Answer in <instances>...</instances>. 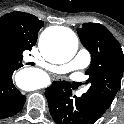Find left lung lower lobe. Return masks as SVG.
<instances>
[{
  "mask_svg": "<svg viewBox=\"0 0 124 124\" xmlns=\"http://www.w3.org/2000/svg\"><path fill=\"white\" fill-rule=\"evenodd\" d=\"M72 86L67 81L53 82L46 88L49 111L57 124H93L99 117L92 110L87 99L72 96Z\"/></svg>",
  "mask_w": 124,
  "mask_h": 124,
  "instance_id": "1",
  "label": "left lung lower lobe"
}]
</instances>
